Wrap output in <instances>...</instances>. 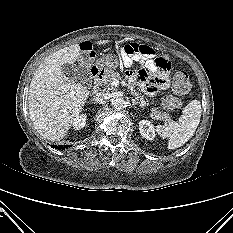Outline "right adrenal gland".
<instances>
[{
	"label": "right adrenal gland",
	"instance_id": "obj_1",
	"mask_svg": "<svg viewBox=\"0 0 233 233\" xmlns=\"http://www.w3.org/2000/svg\"><path fill=\"white\" fill-rule=\"evenodd\" d=\"M90 104H95V102H93L92 100L89 101Z\"/></svg>",
	"mask_w": 233,
	"mask_h": 233
}]
</instances>
